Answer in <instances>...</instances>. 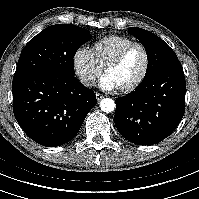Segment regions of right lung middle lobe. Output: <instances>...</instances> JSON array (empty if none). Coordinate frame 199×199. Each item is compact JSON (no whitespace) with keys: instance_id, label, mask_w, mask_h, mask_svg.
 I'll return each instance as SVG.
<instances>
[{"instance_id":"obj_1","label":"right lung middle lobe","mask_w":199,"mask_h":199,"mask_svg":"<svg viewBox=\"0 0 199 199\" xmlns=\"http://www.w3.org/2000/svg\"><path fill=\"white\" fill-rule=\"evenodd\" d=\"M91 37L88 30L71 24L47 27L23 48L14 78L41 72L74 76V55Z\"/></svg>"}]
</instances>
